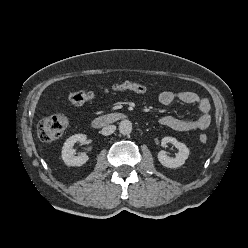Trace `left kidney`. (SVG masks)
Wrapping results in <instances>:
<instances>
[{
    "mask_svg": "<svg viewBox=\"0 0 248 248\" xmlns=\"http://www.w3.org/2000/svg\"><path fill=\"white\" fill-rule=\"evenodd\" d=\"M167 143L173 144L179 151L176 154L175 158L167 156L164 150L160 151L158 153L159 162L163 166L168 167V168H177V167L182 166L189 156L188 147L184 143L179 142L177 139L173 137H164L162 139L161 141L162 146H166Z\"/></svg>",
    "mask_w": 248,
    "mask_h": 248,
    "instance_id": "1",
    "label": "left kidney"
}]
</instances>
